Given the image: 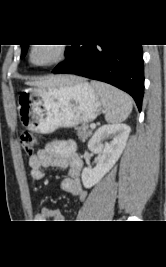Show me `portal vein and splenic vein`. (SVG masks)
Instances as JSON below:
<instances>
[{
    "mask_svg": "<svg viewBox=\"0 0 166 267\" xmlns=\"http://www.w3.org/2000/svg\"><path fill=\"white\" fill-rule=\"evenodd\" d=\"M92 129L96 128V125L95 124H91L90 126Z\"/></svg>",
    "mask_w": 166,
    "mask_h": 267,
    "instance_id": "portal-vein-and-splenic-vein-1",
    "label": "portal vein and splenic vein"
}]
</instances>
